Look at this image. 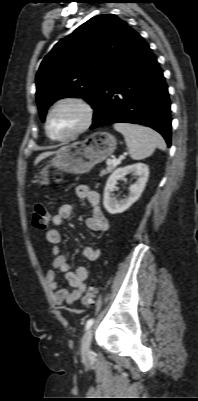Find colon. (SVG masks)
Wrapping results in <instances>:
<instances>
[{
    "label": "colon",
    "mask_w": 198,
    "mask_h": 401,
    "mask_svg": "<svg viewBox=\"0 0 198 401\" xmlns=\"http://www.w3.org/2000/svg\"><path fill=\"white\" fill-rule=\"evenodd\" d=\"M56 179H60L59 176H56ZM51 214L49 210L42 204H38L34 207L32 212V224L34 227L38 229L47 228L50 222ZM95 290L93 288H89L82 298V304L86 307L91 306L94 302Z\"/></svg>",
    "instance_id": "obj_1"
}]
</instances>
